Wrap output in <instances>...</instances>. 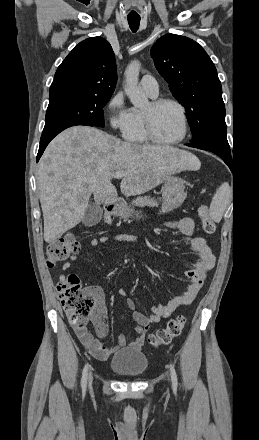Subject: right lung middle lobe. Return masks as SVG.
I'll return each instance as SVG.
<instances>
[{
	"label": "right lung middle lobe",
	"instance_id": "dd1d6c3e",
	"mask_svg": "<svg viewBox=\"0 0 259 440\" xmlns=\"http://www.w3.org/2000/svg\"><path fill=\"white\" fill-rule=\"evenodd\" d=\"M111 96L112 94L82 91L50 95L44 130L69 122L104 127L103 108Z\"/></svg>",
	"mask_w": 259,
	"mask_h": 440
}]
</instances>
